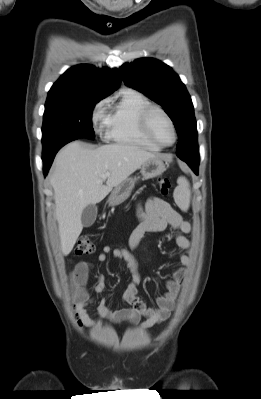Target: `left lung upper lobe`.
<instances>
[{
  "label": "left lung upper lobe",
  "instance_id": "obj_1",
  "mask_svg": "<svg viewBox=\"0 0 261 399\" xmlns=\"http://www.w3.org/2000/svg\"><path fill=\"white\" fill-rule=\"evenodd\" d=\"M119 72L127 86L165 108L179 136L176 155L182 160L199 159L194 107L179 76L168 65L153 58L126 63Z\"/></svg>",
  "mask_w": 261,
  "mask_h": 399
}]
</instances>
